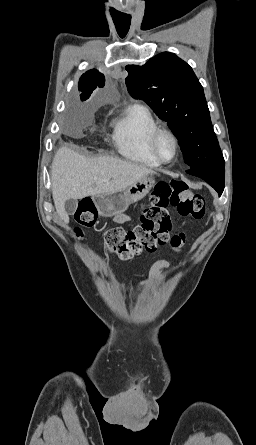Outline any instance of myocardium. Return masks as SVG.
<instances>
[{
	"label": "myocardium",
	"mask_w": 256,
	"mask_h": 445,
	"mask_svg": "<svg viewBox=\"0 0 256 445\" xmlns=\"http://www.w3.org/2000/svg\"><path fill=\"white\" fill-rule=\"evenodd\" d=\"M163 135L169 136L174 144L175 152H174L173 157L170 160H165L159 152L158 144H159L160 138ZM149 147H150V151H151L152 155L160 164H170L173 161H175L176 158L178 157L179 150H180L179 141H178V138L176 137V135L174 134V132L172 130H170L169 128L162 127V126H158L151 134L150 141H149Z\"/></svg>",
	"instance_id": "obj_1"
}]
</instances>
